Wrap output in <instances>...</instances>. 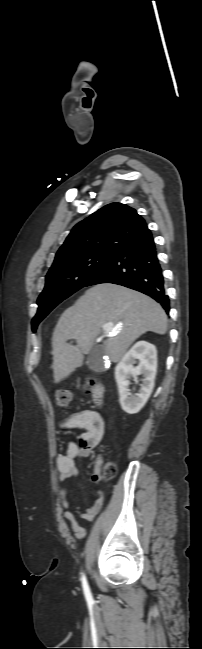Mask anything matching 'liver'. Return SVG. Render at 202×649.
Returning a JSON list of instances; mask_svg holds the SVG:
<instances>
[{"label": "liver", "mask_w": 202, "mask_h": 649, "mask_svg": "<svg viewBox=\"0 0 202 649\" xmlns=\"http://www.w3.org/2000/svg\"><path fill=\"white\" fill-rule=\"evenodd\" d=\"M107 324L111 325L112 333L107 334L103 350L112 362H118L140 335L147 331L165 334L167 316L151 297L128 287L105 283L88 289L62 313L54 329V383L83 364L84 354L90 352ZM69 339L76 340L77 345L68 344Z\"/></svg>", "instance_id": "liver-1"}]
</instances>
